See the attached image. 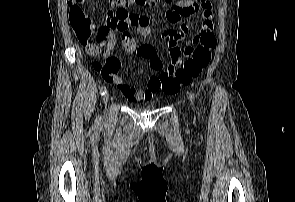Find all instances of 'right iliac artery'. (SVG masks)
<instances>
[{"label": "right iliac artery", "mask_w": 295, "mask_h": 202, "mask_svg": "<svg viewBox=\"0 0 295 202\" xmlns=\"http://www.w3.org/2000/svg\"><path fill=\"white\" fill-rule=\"evenodd\" d=\"M106 92H107L106 86L101 87V89H100V95L103 96V95L106 94Z\"/></svg>", "instance_id": "82829eb1"}]
</instances>
